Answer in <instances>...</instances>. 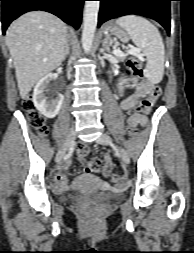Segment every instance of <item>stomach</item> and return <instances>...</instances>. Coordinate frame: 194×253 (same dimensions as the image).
Masks as SVG:
<instances>
[{
	"label": "stomach",
	"instance_id": "1",
	"mask_svg": "<svg viewBox=\"0 0 194 253\" xmlns=\"http://www.w3.org/2000/svg\"><path fill=\"white\" fill-rule=\"evenodd\" d=\"M105 29L106 31L109 32L110 35L115 36L121 42L126 43L129 41V34L125 32L123 29L119 28L118 26L108 25Z\"/></svg>",
	"mask_w": 194,
	"mask_h": 253
}]
</instances>
